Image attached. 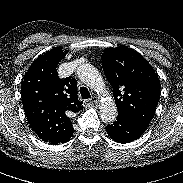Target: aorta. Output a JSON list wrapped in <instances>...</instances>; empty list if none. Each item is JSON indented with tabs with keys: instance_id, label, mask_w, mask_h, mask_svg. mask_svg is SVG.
I'll return each mask as SVG.
<instances>
[{
	"instance_id": "obj_1",
	"label": "aorta",
	"mask_w": 183,
	"mask_h": 183,
	"mask_svg": "<svg viewBox=\"0 0 183 183\" xmlns=\"http://www.w3.org/2000/svg\"><path fill=\"white\" fill-rule=\"evenodd\" d=\"M78 78L96 92H104V80L99 71L90 64H81L77 67ZM117 107L111 97L104 98L100 105V118L105 123L114 122L117 117Z\"/></svg>"
}]
</instances>
